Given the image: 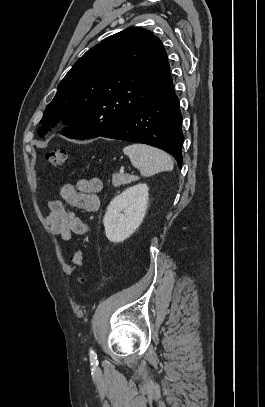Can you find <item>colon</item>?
Segmentation results:
<instances>
[{
  "label": "colon",
  "mask_w": 265,
  "mask_h": 407,
  "mask_svg": "<svg viewBox=\"0 0 265 407\" xmlns=\"http://www.w3.org/2000/svg\"><path fill=\"white\" fill-rule=\"evenodd\" d=\"M68 158L69 156L67 151L60 148L49 150L45 155L46 161L53 166L63 165L68 160ZM71 261L77 268V270L81 269L84 262L83 251L81 249L76 250L71 257ZM76 281L78 284H83L85 282V278L77 273Z\"/></svg>",
  "instance_id": "5ec220e1"
}]
</instances>
